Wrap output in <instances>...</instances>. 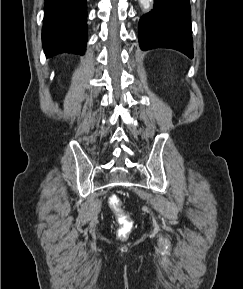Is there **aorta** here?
I'll use <instances>...</instances> for the list:
<instances>
[{
    "label": "aorta",
    "mask_w": 243,
    "mask_h": 289,
    "mask_svg": "<svg viewBox=\"0 0 243 289\" xmlns=\"http://www.w3.org/2000/svg\"><path fill=\"white\" fill-rule=\"evenodd\" d=\"M139 2L143 7L149 8L152 0H139Z\"/></svg>",
    "instance_id": "762f6f07"
}]
</instances>
